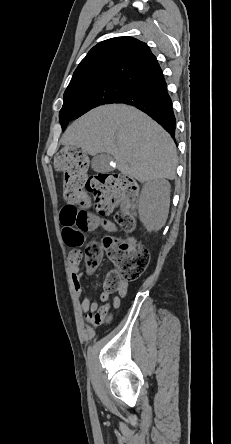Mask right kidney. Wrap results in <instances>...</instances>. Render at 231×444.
Listing matches in <instances>:
<instances>
[{"mask_svg":"<svg viewBox=\"0 0 231 444\" xmlns=\"http://www.w3.org/2000/svg\"><path fill=\"white\" fill-rule=\"evenodd\" d=\"M169 204L170 183L167 180L144 184L139 199V217L148 231L159 230L165 224Z\"/></svg>","mask_w":231,"mask_h":444,"instance_id":"1","label":"right kidney"}]
</instances>
